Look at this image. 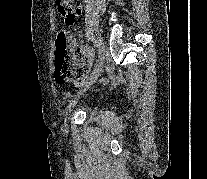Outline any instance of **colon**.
<instances>
[{
  "mask_svg": "<svg viewBox=\"0 0 207 179\" xmlns=\"http://www.w3.org/2000/svg\"><path fill=\"white\" fill-rule=\"evenodd\" d=\"M55 4L58 12L65 17V23L72 24V0H55ZM54 62L55 78L62 83L80 81L89 71V61L83 52L71 50L66 31H60L56 37Z\"/></svg>",
  "mask_w": 207,
  "mask_h": 179,
  "instance_id": "5ec220e1",
  "label": "colon"
}]
</instances>
